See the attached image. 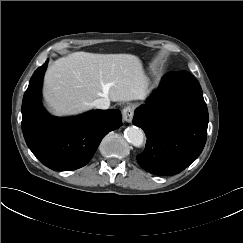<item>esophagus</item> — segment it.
I'll return each mask as SVG.
<instances>
[{
	"label": "esophagus",
	"instance_id": "esophagus-1",
	"mask_svg": "<svg viewBox=\"0 0 243 243\" xmlns=\"http://www.w3.org/2000/svg\"><path fill=\"white\" fill-rule=\"evenodd\" d=\"M122 117L125 122L130 123L134 117V108L131 105H127L122 110Z\"/></svg>",
	"mask_w": 243,
	"mask_h": 243
}]
</instances>
